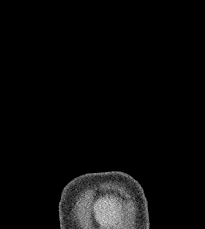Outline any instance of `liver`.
<instances>
[{
    "instance_id": "1",
    "label": "liver",
    "mask_w": 205,
    "mask_h": 229,
    "mask_svg": "<svg viewBox=\"0 0 205 229\" xmlns=\"http://www.w3.org/2000/svg\"><path fill=\"white\" fill-rule=\"evenodd\" d=\"M94 209L96 212V219L100 224L107 226L113 225L116 222L119 208L115 201L101 198L95 203Z\"/></svg>"
}]
</instances>
